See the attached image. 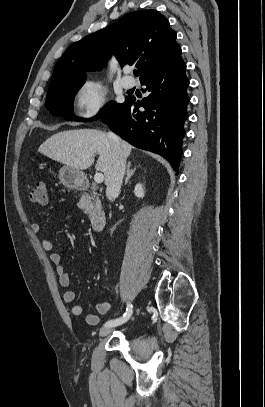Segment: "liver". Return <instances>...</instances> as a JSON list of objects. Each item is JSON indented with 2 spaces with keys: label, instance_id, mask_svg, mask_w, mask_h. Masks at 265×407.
Segmentation results:
<instances>
[{
  "label": "liver",
  "instance_id": "1",
  "mask_svg": "<svg viewBox=\"0 0 265 407\" xmlns=\"http://www.w3.org/2000/svg\"><path fill=\"white\" fill-rule=\"evenodd\" d=\"M123 154L127 158L132 146L119 140ZM38 151L76 170H85L94 163V157L99 155L95 165L96 171L104 173L107 184L113 164V153L107 134L96 129H77L59 132L42 143Z\"/></svg>",
  "mask_w": 265,
  "mask_h": 407
}]
</instances>
